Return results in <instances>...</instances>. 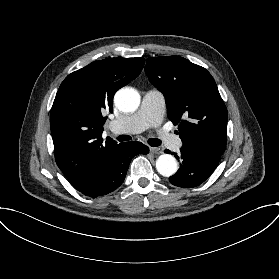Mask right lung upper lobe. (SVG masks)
Segmentation results:
<instances>
[{
  "label": "right lung upper lobe",
  "instance_id": "obj_1",
  "mask_svg": "<svg viewBox=\"0 0 279 279\" xmlns=\"http://www.w3.org/2000/svg\"><path fill=\"white\" fill-rule=\"evenodd\" d=\"M144 58H109L69 74L60 85L50 115L55 160L68 181L80 190L108 166L119 149L111 138L102 139L113 95L135 79Z\"/></svg>",
  "mask_w": 279,
  "mask_h": 279
}]
</instances>
